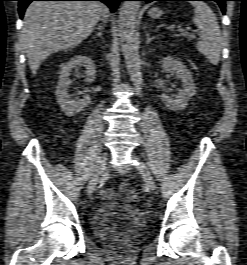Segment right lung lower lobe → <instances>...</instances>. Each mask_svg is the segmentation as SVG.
<instances>
[{"label":"right lung lower lobe","instance_id":"1","mask_svg":"<svg viewBox=\"0 0 247 265\" xmlns=\"http://www.w3.org/2000/svg\"><path fill=\"white\" fill-rule=\"evenodd\" d=\"M19 1V14L20 18L23 17L25 9L32 1H101L108 5V7L111 9V12H114L116 10V7L118 6L120 1L124 0H18Z\"/></svg>","mask_w":247,"mask_h":265}]
</instances>
